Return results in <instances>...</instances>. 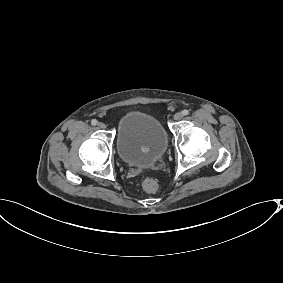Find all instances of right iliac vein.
<instances>
[{"instance_id":"63e3f726","label":"right iliac vein","mask_w":283,"mask_h":283,"mask_svg":"<svg viewBox=\"0 0 283 283\" xmlns=\"http://www.w3.org/2000/svg\"><path fill=\"white\" fill-rule=\"evenodd\" d=\"M97 126H98L100 129H105V128H106V125H105V123H103V122H99V123L97 124Z\"/></svg>"}]
</instances>
